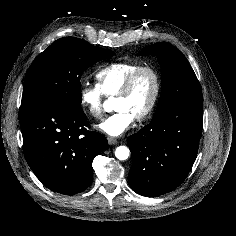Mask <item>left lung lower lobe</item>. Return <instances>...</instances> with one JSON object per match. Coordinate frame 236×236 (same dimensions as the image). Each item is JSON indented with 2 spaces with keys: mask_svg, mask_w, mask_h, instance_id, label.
I'll use <instances>...</instances> for the list:
<instances>
[{
  "mask_svg": "<svg viewBox=\"0 0 236 236\" xmlns=\"http://www.w3.org/2000/svg\"><path fill=\"white\" fill-rule=\"evenodd\" d=\"M202 124L203 104L181 105L129 136L132 190L156 197L182 184L196 159Z\"/></svg>",
  "mask_w": 236,
  "mask_h": 236,
  "instance_id": "1",
  "label": "left lung lower lobe"
}]
</instances>
